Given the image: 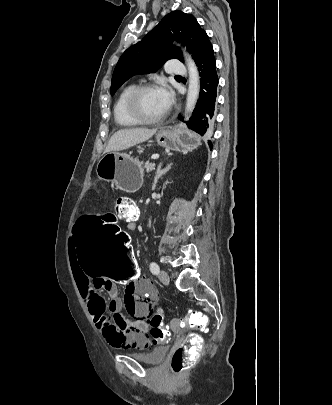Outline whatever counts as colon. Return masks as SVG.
I'll return each mask as SVG.
<instances>
[{"label":"colon","instance_id":"1","mask_svg":"<svg viewBox=\"0 0 332 405\" xmlns=\"http://www.w3.org/2000/svg\"><path fill=\"white\" fill-rule=\"evenodd\" d=\"M115 211L117 220H97V211L87 213L89 220H76V259L81 262L84 275H101L102 281H116L118 287H131L132 281L139 280L140 265L133 259V234L120 227L118 220L127 221L135 213L136 205L130 197L122 195L116 199ZM167 314L166 307H158L146 316L145 323L151 330L147 337L141 338L151 340L149 347L169 341V327L163 322ZM210 321V315L194 311L180 317L179 325L206 332ZM201 341L199 334L191 333L174 349L171 356L174 374L182 373L195 362Z\"/></svg>","mask_w":332,"mask_h":405}]
</instances>
